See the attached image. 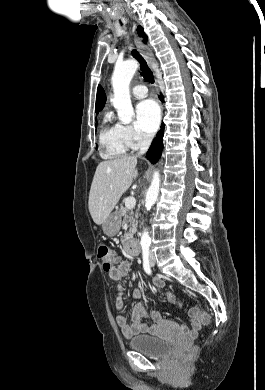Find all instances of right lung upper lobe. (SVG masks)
I'll list each match as a JSON object with an SVG mask.
<instances>
[{
    "label": "right lung upper lobe",
    "mask_w": 265,
    "mask_h": 390,
    "mask_svg": "<svg viewBox=\"0 0 265 390\" xmlns=\"http://www.w3.org/2000/svg\"><path fill=\"white\" fill-rule=\"evenodd\" d=\"M106 102V94L104 92V89L99 85L97 89V97H96V113H99V111L104 107Z\"/></svg>",
    "instance_id": "obj_1"
}]
</instances>
